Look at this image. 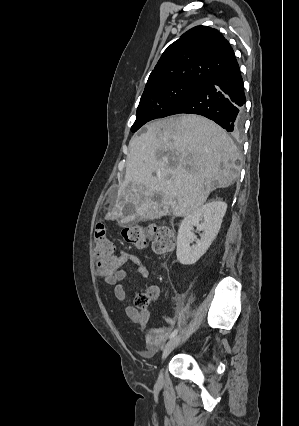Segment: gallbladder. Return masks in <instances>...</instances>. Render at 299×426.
Segmentation results:
<instances>
[{
	"mask_svg": "<svg viewBox=\"0 0 299 426\" xmlns=\"http://www.w3.org/2000/svg\"><path fill=\"white\" fill-rule=\"evenodd\" d=\"M123 213H124V217H128V220H127V222L126 223H134V222H136V220H134L132 217L134 216V214H135V207L132 205V204H126L125 205V207H124V209H123ZM125 222L124 223H120V224H126Z\"/></svg>",
	"mask_w": 299,
	"mask_h": 426,
	"instance_id": "1",
	"label": "gallbladder"
}]
</instances>
